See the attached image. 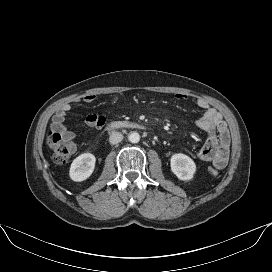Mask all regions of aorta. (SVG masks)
I'll return each instance as SVG.
<instances>
[{"instance_id":"1","label":"aorta","mask_w":272,"mask_h":272,"mask_svg":"<svg viewBox=\"0 0 272 272\" xmlns=\"http://www.w3.org/2000/svg\"><path fill=\"white\" fill-rule=\"evenodd\" d=\"M128 139L131 143H138L140 141V135L137 132H132L129 134Z\"/></svg>"}]
</instances>
